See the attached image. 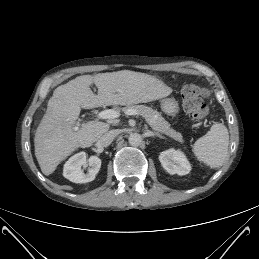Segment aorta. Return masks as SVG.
<instances>
[{
  "label": "aorta",
  "mask_w": 259,
  "mask_h": 259,
  "mask_svg": "<svg viewBox=\"0 0 259 259\" xmlns=\"http://www.w3.org/2000/svg\"><path fill=\"white\" fill-rule=\"evenodd\" d=\"M142 136L138 133H132L129 135L128 141L131 146H139L142 143Z\"/></svg>",
  "instance_id": "obj_1"
}]
</instances>
